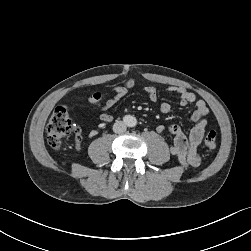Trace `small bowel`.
<instances>
[{
    "label": "small bowel",
    "instance_id": "1",
    "mask_svg": "<svg viewBox=\"0 0 251 251\" xmlns=\"http://www.w3.org/2000/svg\"><path fill=\"white\" fill-rule=\"evenodd\" d=\"M135 83L133 78H129L122 84L108 87L110 91L114 92V96L97 109V113L102 122L110 123L113 120V116L109 110L128 94L129 90L135 86ZM144 92L150 101H157L158 90L156 87L146 86ZM167 92L177 94L180 98L181 106L195 103V109L191 116L192 121L195 122V126L191 129L188 137L185 136L176 125H171L167 130L174 136L173 145L170 148L171 154L184 166L198 167L201 164V157L197 152V148L201 144L205 133L209 109L205 101L197 100L193 92L183 87H169ZM160 111L168 114L171 111V105L167 102L161 103ZM156 130L158 133H163L166 128L159 125Z\"/></svg>",
    "mask_w": 251,
    "mask_h": 251
}]
</instances>
